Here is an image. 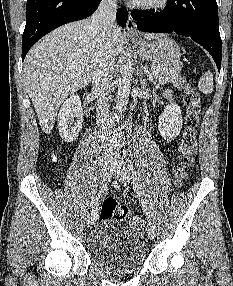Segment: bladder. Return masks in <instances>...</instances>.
Returning a JSON list of instances; mask_svg holds the SVG:
<instances>
[{
    "instance_id": "bladder-1",
    "label": "bladder",
    "mask_w": 233,
    "mask_h": 286,
    "mask_svg": "<svg viewBox=\"0 0 233 286\" xmlns=\"http://www.w3.org/2000/svg\"><path fill=\"white\" fill-rule=\"evenodd\" d=\"M87 247L93 264L108 271L139 269L150 252L141 233L111 218L102 219Z\"/></svg>"
}]
</instances>
